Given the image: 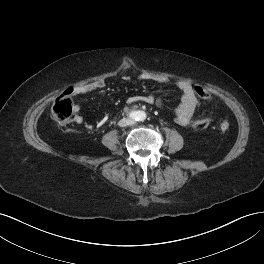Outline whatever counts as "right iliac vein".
<instances>
[{"instance_id": "63e3f726", "label": "right iliac vein", "mask_w": 264, "mask_h": 264, "mask_svg": "<svg viewBox=\"0 0 264 264\" xmlns=\"http://www.w3.org/2000/svg\"><path fill=\"white\" fill-rule=\"evenodd\" d=\"M126 124H127V121L124 119L119 122L120 126H125Z\"/></svg>"}]
</instances>
